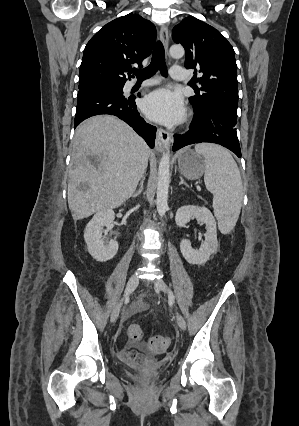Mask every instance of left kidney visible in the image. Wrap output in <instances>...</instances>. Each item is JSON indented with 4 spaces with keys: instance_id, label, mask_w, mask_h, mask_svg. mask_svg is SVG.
<instances>
[{
    "instance_id": "left-kidney-1",
    "label": "left kidney",
    "mask_w": 299,
    "mask_h": 426,
    "mask_svg": "<svg viewBox=\"0 0 299 426\" xmlns=\"http://www.w3.org/2000/svg\"><path fill=\"white\" fill-rule=\"evenodd\" d=\"M192 217L206 225L205 240L198 250L192 248L189 240L182 239L180 250L183 257L190 264L203 265L210 256L217 251V228L216 221L210 210L204 206L187 205L182 206L176 212L175 222L178 227L185 226Z\"/></svg>"
}]
</instances>
